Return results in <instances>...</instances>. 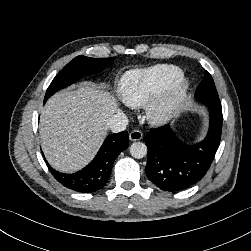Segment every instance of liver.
I'll list each match as a JSON object with an SVG mask.
<instances>
[{
	"label": "liver",
	"instance_id": "obj_1",
	"mask_svg": "<svg viewBox=\"0 0 251 251\" xmlns=\"http://www.w3.org/2000/svg\"><path fill=\"white\" fill-rule=\"evenodd\" d=\"M117 111L115 99L91 84L52 96L42 110L39 124L42 150L50 165L68 173L87 165Z\"/></svg>",
	"mask_w": 251,
	"mask_h": 251
}]
</instances>
